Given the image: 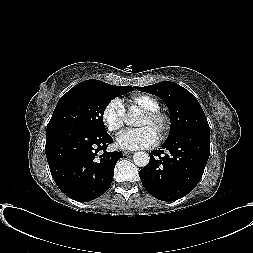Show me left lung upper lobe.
<instances>
[{
	"instance_id": "1",
	"label": "left lung upper lobe",
	"mask_w": 253,
	"mask_h": 253,
	"mask_svg": "<svg viewBox=\"0 0 253 253\" xmlns=\"http://www.w3.org/2000/svg\"><path fill=\"white\" fill-rule=\"evenodd\" d=\"M136 89L156 95L166 103L172 124L168 139L185 131L210 132L209 124L198 100L177 83L164 81L150 86L136 87Z\"/></svg>"
}]
</instances>
